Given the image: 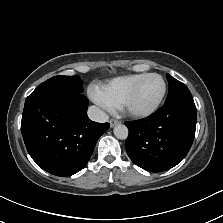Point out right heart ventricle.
Masks as SVG:
<instances>
[{
  "instance_id": "1",
  "label": "right heart ventricle",
  "mask_w": 223,
  "mask_h": 223,
  "mask_svg": "<svg viewBox=\"0 0 223 223\" xmlns=\"http://www.w3.org/2000/svg\"><path fill=\"white\" fill-rule=\"evenodd\" d=\"M145 73L118 76L99 88L100 95L111 108H119L126 94Z\"/></svg>"
}]
</instances>
